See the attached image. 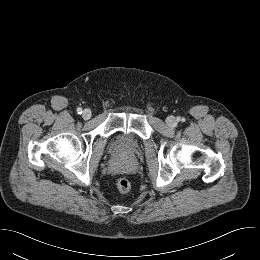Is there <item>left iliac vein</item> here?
Returning <instances> with one entry per match:
<instances>
[{
  "mask_svg": "<svg viewBox=\"0 0 260 260\" xmlns=\"http://www.w3.org/2000/svg\"><path fill=\"white\" fill-rule=\"evenodd\" d=\"M166 123H167L168 126H171V127L175 126V125H176V119H175V117L169 116V117L166 119Z\"/></svg>",
  "mask_w": 260,
  "mask_h": 260,
  "instance_id": "left-iliac-vein-1",
  "label": "left iliac vein"
}]
</instances>
